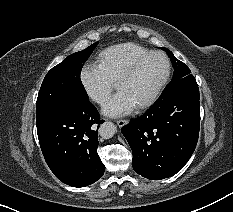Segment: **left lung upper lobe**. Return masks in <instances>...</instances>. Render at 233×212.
<instances>
[{
	"label": "left lung upper lobe",
	"instance_id": "5c2ea615",
	"mask_svg": "<svg viewBox=\"0 0 233 212\" xmlns=\"http://www.w3.org/2000/svg\"><path fill=\"white\" fill-rule=\"evenodd\" d=\"M162 49L166 51V53L170 57V60L174 67V74L172 81L165 87L161 96L169 95L172 91L181 87H185V86L197 87V83L194 76L190 74L191 73L190 69L183 62L175 58L173 53L169 49L166 48H162Z\"/></svg>",
	"mask_w": 233,
	"mask_h": 212
}]
</instances>
